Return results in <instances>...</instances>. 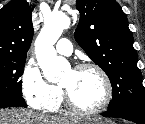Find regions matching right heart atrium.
<instances>
[{"mask_svg":"<svg viewBox=\"0 0 145 124\" xmlns=\"http://www.w3.org/2000/svg\"><path fill=\"white\" fill-rule=\"evenodd\" d=\"M21 86L24 98L35 109L49 111L58 104L61 91L45 80L39 67L33 62L25 65Z\"/></svg>","mask_w":145,"mask_h":124,"instance_id":"d8ad5b80","label":"right heart atrium"}]
</instances>
